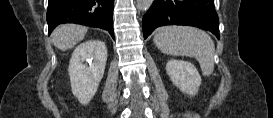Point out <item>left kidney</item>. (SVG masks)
Here are the masks:
<instances>
[{
	"mask_svg": "<svg viewBox=\"0 0 273 118\" xmlns=\"http://www.w3.org/2000/svg\"><path fill=\"white\" fill-rule=\"evenodd\" d=\"M166 72L172 83L183 93L195 95L201 85V76L193 64L183 60H169Z\"/></svg>",
	"mask_w": 273,
	"mask_h": 118,
	"instance_id": "left-kidney-1",
	"label": "left kidney"
}]
</instances>
